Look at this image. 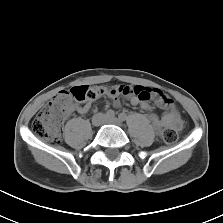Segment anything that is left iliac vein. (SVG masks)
I'll return each instance as SVG.
<instances>
[{
    "instance_id": "obj_1",
    "label": "left iliac vein",
    "mask_w": 223,
    "mask_h": 223,
    "mask_svg": "<svg viewBox=\"0 0 223 223\" xmlns=\"http://www.w3.org/2000/svg\"><path fill=\"white\" fill-rule=\"evenodd\" d=\"M104 123L105 124H113V125H116V126H121L122 125V121L120 119L115 118V117L105 118Z\"/></svg>"
}]
</instances>
